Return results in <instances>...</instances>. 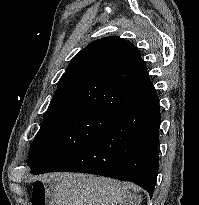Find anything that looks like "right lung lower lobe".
I'll use <instances>...</instances> for the list:
<instances>
[{
    "label": "right lung lower lobe",
    "instance_id": "1",
    "mask_svg": "<svg viewBox=\"0 0 199 205\" xmlns=\"http://www.w3.org/2000/svg\"><path fill=\"white\" fill-rule=\"evenodd\" d=\"M129 88L142 96L143 103L50 172H82L131 181L153 196L159 164V98L151 81L130 84Z\"/></svg>",
    "mask_w": 199,
    "mask_h": 205
}]
</instances>
